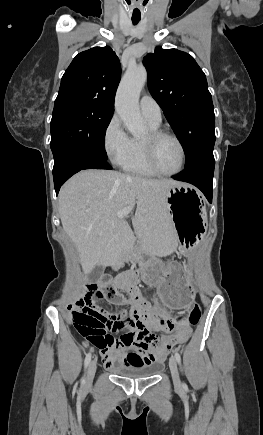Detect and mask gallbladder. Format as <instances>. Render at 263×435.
Returning a JSON list of instances; mask_svg holds the SVG:
<instances>
[{
    "label": "gallbladder",
    "instance_id": "1",
    "mask_svg": "<svg viewBox=\"0 0 263 435\" xmlns=\"http://www.w3.org/2000/svg\"><path fill=\"white\" fill-rule=\"evenodd\" d=\"M104 272V268L101 265H97L93 268V270L87 276L88 282H96L100 279Z\"/></svg>",
    "mask_w": 263,
    "mask_h": 435
}]
</instances>
